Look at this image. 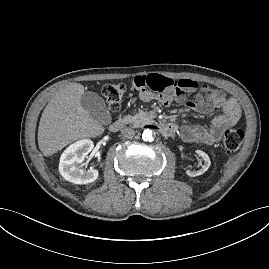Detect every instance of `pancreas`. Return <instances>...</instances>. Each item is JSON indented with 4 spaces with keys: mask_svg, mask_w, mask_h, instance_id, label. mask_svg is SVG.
Masks as SVG:
<instances>
[{
    "mask_svg": "<svg viewBox=\"0 0 269 269\" xmlns=\"http://www.w3.org/2000/svg\"><path fill=\"white\" fill-rule=\"evenodd\" d=\"M150 120V117L148 115L147 112L145 111H139L138 113H136L135 115H126L123 118V122L125 124H129L132 127H142L145 124H147V122Z\"/></svg>",
    "mask_w": 269,
    "mask_h": 269,
    "instance_id": "pancreas-1",
    "label": "pancreas"
}]
</instances>
